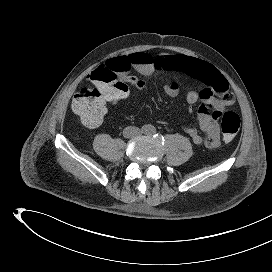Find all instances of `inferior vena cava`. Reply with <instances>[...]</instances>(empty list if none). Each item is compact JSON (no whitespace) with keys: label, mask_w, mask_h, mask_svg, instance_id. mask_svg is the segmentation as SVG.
<instances>
[{"label":"inferior vena cava","mask_w":272,"mask_h":272,"mask_svg":"<svg viewBox=\"0 0 272 272\" xmlns=\"http://www.w3.org/2000/svg\"><path fill=\"white\" fill-rule=\"evenodd\" d=\"M140 134V129L135 126H128L123 131V136L126 138H131Z\"/></svg>","instance_id":"1"}]
</instances>
